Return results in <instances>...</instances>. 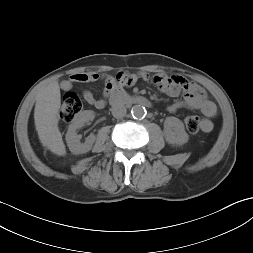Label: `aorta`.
<instances>
[{"label": "aorta", "mask_w": 253, "mask_h": 253, "mask_svg": "<svg viewBox=\"0 0 253 253\" xmlns=\"http://www.w3.org/2000/svg\"><path fill=\"white\" fill-rule=\"evenodd\" d=\"M131 114L134 118L140 119L146 115V109L141 105H135L131 109Z\"/></svg>", "instance_id": "obj_1"}]
</instances>
